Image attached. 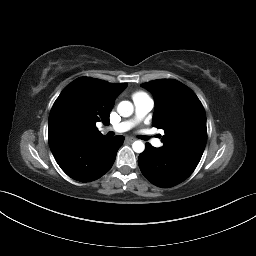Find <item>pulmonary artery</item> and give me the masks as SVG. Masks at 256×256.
I'll use <instances>...</instances> for the list:
<instances>
[{"mask_svg": "<svg viewBox=\"0 0 256 256\" xmlns=\"http://www.w3.org/2000/svg\"><path fill=\"white\" fill-rule=\"evenodd\" d=\"M135 117L128 121H123L112 126H109L107 130L114 131L116 133H123L130 130L136 123L141 121L153 108V100L149 97L137 98L134 100ZM151 143L155 147H160L162 142L158 138L151 139Z\"/></svg>", "mask_w": 256, "mask_h": 256, "instance_id": "e3ab8cb5", "label": "pulmonary artery"}]
</instances>
